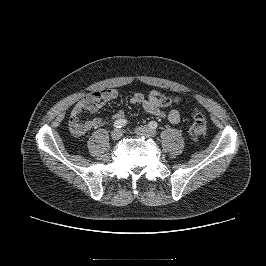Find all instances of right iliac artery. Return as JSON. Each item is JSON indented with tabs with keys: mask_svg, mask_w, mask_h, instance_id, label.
I'll use <instances>...</instances> for the list:
<instances>
[{
	"mask_svg": "<svg viewBox=\"0 0 266 266\" xmlns=\"http://www.w3.org/2000/svg\"><path fill=\"white\" fill-rule=\"evenodd\" d=\"M127 124V120L126 119H118L114 122L113 126L114 128H122Z\"/></svg>",
	"mask_w": 266,
	"mask_h": 266,
	"instance_id": "right-iliac-artery-1",
	"label": "right iliac artery"
}]
</instances>
